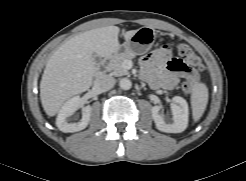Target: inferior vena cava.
Returning <instances> with one entry per match:
<instances>
[{"label":"inferior vena cava","instance_id":"602c4592","mask_svg":"<svg viewBox=\"0 0 246 181\" xmlns=\"http://www.w3.org/2000/svg\"><path fill=\"white\" fill-rule=\"evenodd\" d=\"M116 80L110 75H100L94 82V87L100 92H105L112 89Z\"/></svg>","mask_w":246,"mask_h":181}]
</instances>
